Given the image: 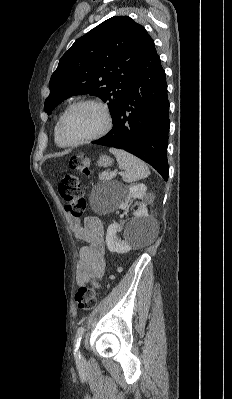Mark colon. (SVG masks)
<instances>
[{
    "label": "colon",
    "mask_w": 232,
    "mask_h": 399,
    "mask_svg": "<svg viewBox=\"0 0 232 399\" xmlns=\"http://www.w3.org/2000/svg\"><path fill=\"white\" fill-rule=\"evenodd\" d=\"M72 167L77 174L90 171L91 158H86V154L74 156ZM62 185L64 186H59V191H62V194L82 196V180H79V175H66V180H62ZM68 202L66 203V212H69L72 218H81L83 212H86L87 198H69ZM92 281H97V276H92ZM102 284H107L106 276L102 277ZM88 285V289H77V294H81V296L75 297L76 301H81V303H77V308H81L83 312H95V306H98V299L101 298V288L98 282L94 283L93 289H91V284Z\"/></svg>",
    "instance_id": "5ec220e1"
}]
</instances>
